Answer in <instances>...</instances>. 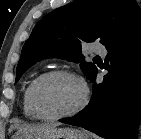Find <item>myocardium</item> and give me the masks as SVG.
I'll use <instances>...</instances> for the list:
<instances>
[{
	"label": "myocardium",
	"instance_id": "myocardium-1",
	"mask_svg": "<svg viewBox=\"0 0 141 139\" xmlns=\"http://www.w3.org/2000/svg\"><path fill=\"white\" fill-rule=\"evenodd\" d=\"M57 76L69 77L76 80L81 86V90H82L81 98L78 104L72 109H70L69 111L60 114H47L40 108L38 104L37 91L42 82H44L49 78L57 77ZM88 99H89V89L84 78L79 74H77L76 72L66 69L50 70L39 75L32 83L29 91V103L32 110L39 117V119L48 120V121L68 118L78 114L80 111H82L85 108V106L88 103Z\"/></svg>",
	"mask_w": 141,
	"mask_h": 139
}]
</instances>
